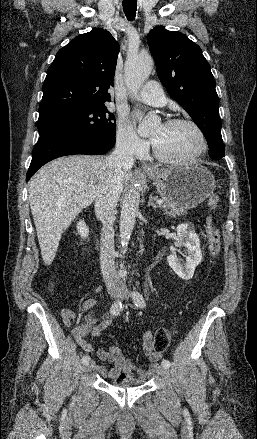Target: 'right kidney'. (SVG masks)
<instances>
[{"mask_svg": "<svg viewBox=\"0 0 257 439\" xmlns=\"http://www.w3.org/2000/svg\"><path fill=\"white\" fill-rule=\"evenodd\" d=\"M77 230H78V233L80 234V236L84 239H86L87 237H88V235H89V229H88V227L86 226V224H85V222H84V220H80L78 223H77Z\"/></svg>", "mask_w": 257, "mask_h": 439, "instance_id": "right-kidney-1", "label": "right kidney"}]
</instances>
